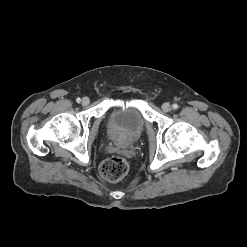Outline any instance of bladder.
Wrapping results in <instances>:
<instances>
[{"label": "bladder", "mask_w": 247, "mask_h": 247, "mask_svg": "<svg viewBox=\"0 0 247 247\" xmlns=\"http://www.w3.org/2000/svg\"><path fill=\"white\" fill-rule=\"evenodd\" d=\"M109 136L117 141L138 139L145 129L141 111L132 105L114 109L107 122Z\"/></svg>", "instance_id": "obj_1"}]
</instances>
